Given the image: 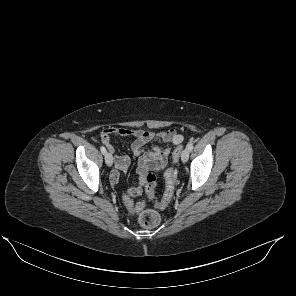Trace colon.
I'll return each mask as SVG.
<instances>
[{
  "label": "colon",
  "instance_id": "1",
  "mask_svg": "<svg viewBox=\"0 0 296 296\" xmlns=\"http://www.w3.org/2000/svg\"><path fill=\"white\" fill-rule=\"evenodd\" d=\"M183 150V146H177L173 151V162H177L180 156V153ZM165 178V192L160 201L156 203L157 208L164 209L166 208L173 196L176 173L175 170L170 167L164 173ZM141 183L145 193L150 197L154 198L155 187H156V176L152 172H147L141 179ZM127 205L132 211L134 216L138 217L139 224L145 228H154L157 227L161 222V217L159 213L155 210H150L145 208L144 202H139L136 205H132L130 199H125Z\"/></svg>",
  "mask_w": 296,
  "mask_h": 296
}]
</instances>
